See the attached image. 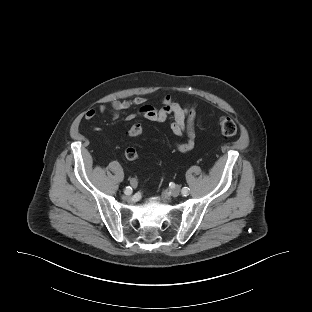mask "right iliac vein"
Here are the masks:
<instances>
[{"mask_svg": "<svg viewBox=\"0 0 312 312\" xmlns=\"http://www.w3.org/2000/svg\"><path fill=\"white\" fill-rule=\"evenodd\" d=\"M131 185L132 187H136L137 186V181L135 179L131 180ZM126 195H130V194H126Z\"/></svg>", "mask_w": 312, "mask_h": 312, "instance_id": "right-iliac-vein-1", "label": "right iliac vein"}]
</instances>
